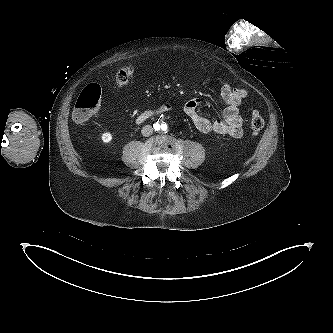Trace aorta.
<instances>
[{
  "mask_svg": "<svg viewBox=\"0 0 333 333\" xmlns=\"http://www.w3.org/2000/svg\"><path fill=\"white\" fill-rule=\"evenodd\" d=\"M154 127H155V130L158 131V132H160V133H164L165 131H167V125L164 122L161 123V124L156 123L154 125Z\"/></svg>",
  "mask_w": 333,
  "mask_h": 333,
  "instance_id": "obj_1",
  "label": "aorta"
}]
</instances>
